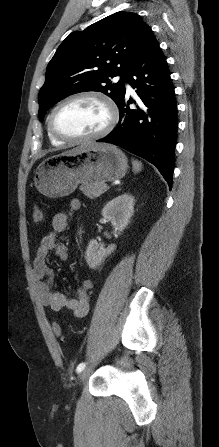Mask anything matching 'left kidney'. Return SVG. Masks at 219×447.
Listing matches in <instances>:
<instances>
[{"mask_svg": "<svg viewBox=\"0 0 219 447\" xmlns=\"http://www.w3.org/2000/svg\"><path fill=\"white\" fill-rule=\"evenodd\" d=\"M134 197L129 193H124L109 201L102 209V216L105 221H110L118 232H122L130 222L134 212ZM116 249L115 244H110L107 248L101 247L97 240H91L86 250V261L91 269L97 268L107 256Z\"/></svg>", "mask_w": 219, "mask_h": 447, "instance_id": "1", "label": "left kidney"}]
</instances>
